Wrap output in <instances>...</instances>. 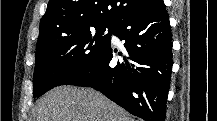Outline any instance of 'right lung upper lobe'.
<instances>
[{"mask_svg": "<svg viewBox=\"0 0 217 121\" xmlns=\"http://www.w3.org/2000/svg\"><path fill=\"white\" fill-rule=\"evenodd\" d=\"M147 0H50L36 48L93 24H117Z\"/></svg>", "mask_w": 217, "mask_h": 121, "instance_id": "right-lung-upper-lobe-1", "label": "right lung upper lobe"}]
</instances>
